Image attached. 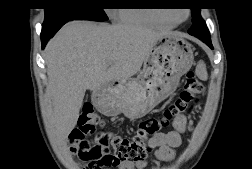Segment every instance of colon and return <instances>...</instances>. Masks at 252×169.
I'll list each match as a JSON object with an SVG mask.
<instances>
[{"label": "colon", "mask_w": 252, "mask_h": 169, "mask_svg": "<svg viewBox=\"0 0 252 169\" xmlns=\"http://www.w3.org/2000/svg\"><path fill=\"white\" fill-rule=\"evenodd\" d=\"M202 91L203 85L195 72L188 71L179 97L164 109L161 117L143 120L132 137L115 130L96 133L97 126L103 121L94 108L86 104L79 116L78 127L69 136L70 150L83 169H109L121 162L143 161L151 148L147 141L158 135L173 117L191 112ZM88 135H94V140L86 139Z\"/></svg>", "instance_id": "5ec220e1"}]
</instances>
